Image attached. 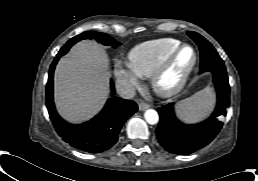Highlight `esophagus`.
I'll return each mask as SVG.
<instances>
[{"instance_id": "obj_1", "label": "esophagus", "mask_w": 258, "mask_h": 181, "mask_svg": "<svg viewBox=\"0 0 258 181\" xmlns=\"http://www.w3.org/2000/svg\"><path fill=\"white\" fill-rule=\"evenodd\" d=\"M138 107H139L140 111H144L149 108V104H147L145 102H141V103H139Z\"/></svg>"}]
</instances>
